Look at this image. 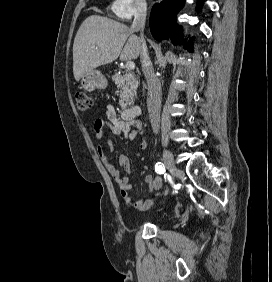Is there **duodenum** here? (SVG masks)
<instances>
[{
	"mask_svg": "<svg viewBox=\"0 0 272 282\" xmlns=\"http://www.w3.org/2000/svg\"><path fill=\"white\" fill-rule=\"evenodd\" d=\"M141 114V107L140 105L133 103L128 105L123 111H122V118L125 120H133L137 116Z\"/></svg>",
	"mask_w": 272,
	"mask_h": 282,
	"instance_id": "duodenum-1",
	"label": "duodenum"
}]
</instances>
